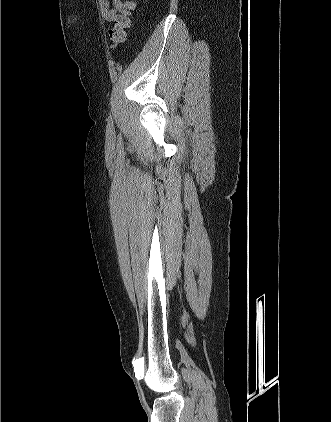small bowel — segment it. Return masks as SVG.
Returning <instances> with one entry per match:
<instances>
[{
  "mask_svg": "<svg viewBox=\"0 0 331 422\" xmlns=\"http://www.w3.org/2000/svg\"><path fill=\"white\" fill-rule=\"evenodd\" d=\"M101 16L109 22L114 21L117 13L123 9L122 0H98Z\"/></svg>",
  "mask_w": 331,
  "mask_h": 422,
  "instance_id": "c3829d8e",
  "label": "small bowel"
}]
</instances>
